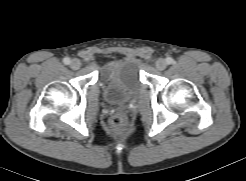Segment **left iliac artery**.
I'll list each match as a JSON object with an SVG mask.
<instances>
[{
    "instance_id": "obj_1",
    "label": "left iliac artery",
    "mask_w": 246,
    "mask_h": 181,
    "mask_svg": "<svg viewBox=\"0 0 246 181\" xmlns=\"http://www.w3.org/2000/svg\"><path fill=\"white\" fill-rule=\"evenodd\" d=\"M166 62H167L168 64H173V63H174V60H173V58L168 57V58H166Z\"/></svg>"
}]
</instances>
